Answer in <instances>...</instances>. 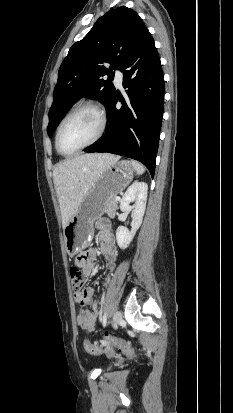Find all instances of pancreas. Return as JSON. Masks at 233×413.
Here are the masks:
<instances>
[{
  "label": "pancreas",
  "instance_id": "1",
  "mask_svg": "<svg viewBox=\"0 0 233 413\" xmlns=\"http://www.w3.org/2000/svg\"><path fill=\"white\" fill-rule=\"evenodd\" d=\"M116 197H111L105 204V213L108 214L110 217H114L115 211L117 209V201L115 199Z\"/></svg>",
  "mask_w": 233,
  "mask_h": 413
}]
</instances>
